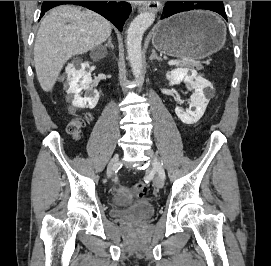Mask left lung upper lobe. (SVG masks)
Instances as JSON below:
<instances>
[{
	"instance_id": "left-lung-upper-lobe-1",
	"label": "left lung upper lobe",
	"mask_w": 271,
	"mask_h": 266,
	"mask_svg": "<svg viewBox=\"0 0 271 266\" xmlns=\"http://www.w3.org/2000/svg\"><path fill=\"white\" fill-rule=\"evenodd\" d=\"M216 2H219V3L223 4V1H216Z\"/></svg>"
}]
</instances>
